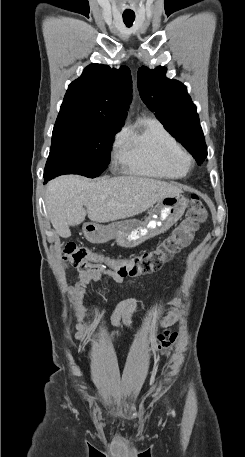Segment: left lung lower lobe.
Listing matches in <instances>:
<instances>
[{"label": "left lung lower lobe", "instance_id": "obj_1", "mask_svg": "<svg viewBox=\"0 0 245 457\" xmlns=\"http://www.w3.org/2000/svg\"><path fill=\"white\" fill-rule=\"evenodd\" d=\"M206 157H207V155H205V157L201 161H199L198 164L200 165L205 160Z\"/></svg>", "mask_w": 245, "mask_h": 457}]
</instances>
